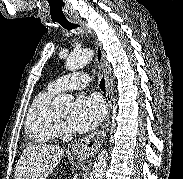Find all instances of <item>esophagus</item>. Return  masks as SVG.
Segmentation results:
<instances>
[{
  "mask_svg": "<svg viewBox=\"0 0 183 179\" xmlns=\"http://www.w3.org/2000/svg\"><path fill=\"white\" fill-rule=\"evenodd\" d=\"M77 22L88 33L92 34V31L87 27L86 23L82 22L81 20H78ZM95 49H96V61L105 76L106 100L108 103L109 112L100 130L79 139L73 144V151L82 155L94 154L98 149H100V147L104 142V139L108 130L109 122H110L111 99H112V93H113V83H112L111 73L108 67V63L106 61L105 52L103 51L101 43L98 40H96Z\"/></svg>",
  "mask_w": 183,
  "mask_h": 179,
  "instance_id": "esophagus-1",
  "label": "esophagus"
}]
</instances>
